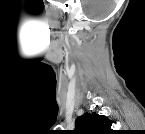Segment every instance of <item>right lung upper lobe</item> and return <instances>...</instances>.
<instances>
[{"label":"right lung upper lobe","mask_w":145,"mask_h":134,"mask_svg":"<svg viewBox=\"0 0 145 134\" xmlns=\"http://www.w3.org/2000/svg\"><path fill=\"white\" fill-rule=\"evenodd\" d=\"M112 121L96 113H84L75 122V134H113Z\"/></svg>","instance_id":"obj_1"}]
</instances>
